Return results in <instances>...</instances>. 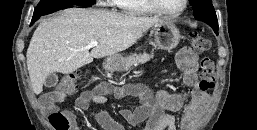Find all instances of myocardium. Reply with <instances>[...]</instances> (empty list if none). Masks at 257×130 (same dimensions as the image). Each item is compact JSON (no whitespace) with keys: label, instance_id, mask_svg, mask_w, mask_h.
Masks as SVG:
<instances>
[{"label":"myocardium","instance_id":"1","mask_svg":"<svg viewBox=\"0 0 257 130\" xmlns=\"http://www.w3.org/2000/svg\"><path fill=\"white\" fill-rule=\"evenodd\" d=\"M148 5L150 6V8L155 11V13L167 16V17H178L180 16L186 9L188 6V2L189 0H184L183 1V6L180 10H178L177 12H168L166 10H164L163 8L160 7V5L157 3L156 0H146Z\"/></svg>","mask_w":257,"mask_h":130}]
</instances>
